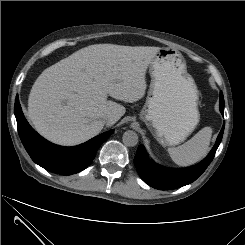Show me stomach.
Listing matches in <instances>:
<instances>
[{"instance_id": "1", "label": "stomach", "mask_w": 245, "mask_h": 245, "mask_svg": "<svg viewBox=\"0 0 245 245\" xmlns=\"http://www.w3.org/2000/svg\"><path fill=\"white\" fill-rule=\"evenodd\" d=\"M151 82L140 119L163 146L183 142L200 120L199 94L182 54L160 48L149 64Z\"/></svg>"}]
</instances>
